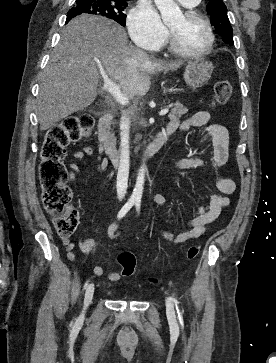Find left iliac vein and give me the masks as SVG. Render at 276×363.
I'll return each instance as SVG.
<instances>
[{
  "instance_id": "4c4485c4",
  "label": "left iliac vein",
  "mask_w": 276,
  "mask_h": 363,
  "mask_svg": "<svg viewBox=\"0 0 276 363\" xmlns=\"http://www.w3.org/2000/svg\"><path fill=\"white\" fill-rule=\"evenodd\" d=\"M166 312L168 319L172 322V324H176L174 305L169 298L166 299Z\"/></svg>"
}]
</instances>
